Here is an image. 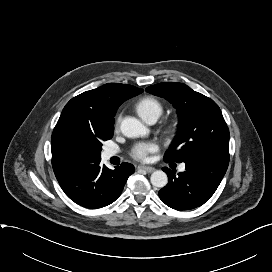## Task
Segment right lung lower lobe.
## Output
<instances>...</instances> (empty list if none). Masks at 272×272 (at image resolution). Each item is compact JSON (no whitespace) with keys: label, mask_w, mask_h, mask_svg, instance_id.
<instances>
[{"label":"right lung lower lobe","mask_w":272,"mask_h":272,"mask_svg":"<svg viewBox=\"0 0 272 272\" xmlns=\"http://www.w3.org/2000/svg\"><path fill=\"white\" fill-rule=\"evenodd\" d=\"M100 161L86 164L58 180L65 194L83 207L100 208L114 202L135 170L129 163L111 170L105 165L100 167Z\"/></svg>","instance_id":"1"}]
</instances>
